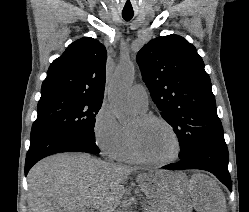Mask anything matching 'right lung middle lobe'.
Returning <instances> with one entry per match:
<instances>
[{"label": "right lung middle lobe", "mask_w": 249, "mask_h": 212, "mask_svg": "<svg viewBox=\"0 0 249 212\" xmlns=\"http://www.w3.org/2000/svg\"><path fill=\"white\" fill-rule=\"evenodd\" d=\"M101 99L79 94H51L41 96L38 116L33 123L31 138L49 132H72L95 142V117Z\"/></svg>", "instance_id": "dd1d6c3e"}]
</instances>
